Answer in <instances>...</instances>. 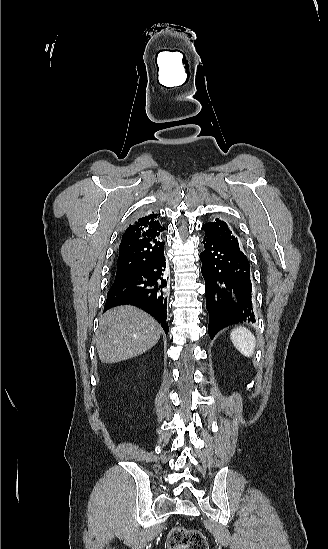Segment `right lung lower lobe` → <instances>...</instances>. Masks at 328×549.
Instances as JSON below:
<instances>
[{
	"label": "right lung lower lobe",
	"instance_id": "right-lung-lower-lobe-1",
	"mask_svg": "<svg viewBox=\"0 0 328 549\" xmlns=\"http://www.w3.org/2000/svg\"><path fill=\"white\" fill-rule=\"evenodd\" d=\"M166 262L164 251L136 274L114 283L107 293L104 311L131 304L152 315L168 333L166 313Z\"/></svg>",
	"mask_w": 328,
	"mask_h": 549
}]
</instances>
